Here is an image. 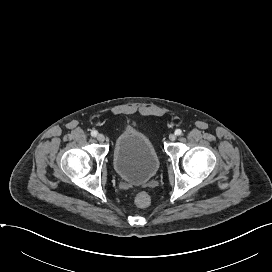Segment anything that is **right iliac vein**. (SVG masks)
I'll return each mask as SVG.
<instances>
[{
  "label": "right iliac vein",
  "instance_id": "63e3f726",
  "mask_svg": "<svg viewBox=\"0 0 272 272\" xmlns=\"http://www.w3.org/2000/svg\"><path fill=\"white\" fill-rule=\"evenodd\" d=\"M97 140L100 141V142H103L105 140V137L103 134H98L97 135Z\"/></svg>",
  "mask_w": 272,
  "mask_h": 272
}]
</instances>
